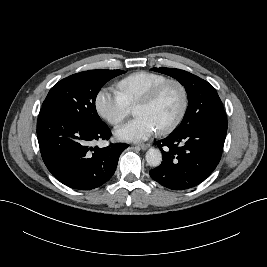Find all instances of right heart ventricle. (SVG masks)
I'll return each mask as SVG.
<instances>
[{
  "label": "right heart ventricle",
  "mask_w": 267,
  "mask_h": 267,
  "mask_svg": "<svg viewBox=\"0 0 267 267\" xmlns=\"http://www.w3.org/2000/svg\"><path fill=\"white\" fill-rule=\"evenodd\" d=\"M167 79L163 74L137 71L119 80L116 89L131 107L137 105L153 87Z\"/></svg>",
  "instance_id": "e07e8e85"
}]
</instances>
